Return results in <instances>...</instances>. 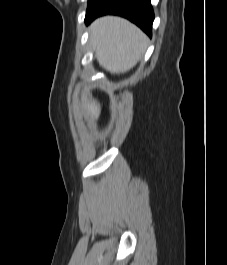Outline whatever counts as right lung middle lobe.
Here are the masks:
<instances>
[{
  "label": "right lung middle lobe",
  "instance_id": "dd1d6c3e",
  "mask_svg": "<svg viewBox=\"0 0 227 265\" xmlns=\"http://www.w3.org/2000/svg\"><path fill=\"white\" fill-rule=\"evenodd\" d=\"M105 1L106 0H89L85 19L93 15Z\"/></svg>",
  "mask_w": 227,
  "mask_h": 265
}]
</instances>
